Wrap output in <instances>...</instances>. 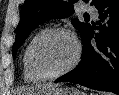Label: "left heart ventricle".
I'll list each match as a JSON object with an SVG mask.
<instances>
[{"mask_svg": "<svg viewBox=\"0 0 119 95\" xmlns=\"http://www.w3.org/2000/svg\"><path fill=\"white\" fill-rule=\"evenodd\" d=\"M75 56V44L71 37L58 34L46 39L38 48L36 60L46 73H56L68 66Z\"/></svg>", "mask_w": 119, "mask_h": 95, "instance_id": "1", "label": "left heart ventricle"}]
</instances>
